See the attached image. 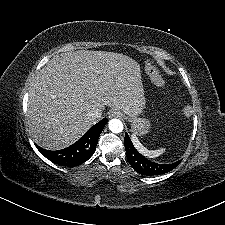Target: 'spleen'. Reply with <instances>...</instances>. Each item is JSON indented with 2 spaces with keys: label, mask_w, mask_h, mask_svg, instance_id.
Instances as JSON below:
<instances>
[{
  "label": "spleen",
  "mask_w": 225,
  "mask_h": 225,
  "mask_svg": "<svg viewBox=\"0 0 225 225\" xmlns=\"http://www.w3.org/2000/svg\"><path fill=\"white\" fill-rule=\"evenodd\" d=\"M131 140L135 146V148L144 156L148 157V158H156L159 155H161L164 152V148H160L157 150H148L147 148H145L140 141L138 140L136 135H132L131 136Z\"/></svg>",
  "instance_id": "spleen-1"
}]
</instances>
